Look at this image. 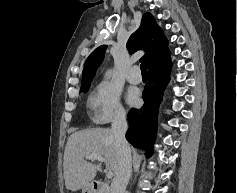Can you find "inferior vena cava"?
Returning a JSON list of instances; mask_svg holds the SVG:
<instances>
[{"label": "inferior vena cava", "mask_w": 237, "mask_h": 193, "mask_svg": "<svg viewBox=\"0 0 237 193\" xmlns=\"http://www.w3.org/2000/svg\"><path fill=\"white\" fill-rule=\"evenodd\" d=\"M127 128L128 125L126 120V114L124 112L118 113L114 117L111 126L119 157L118 167L115 172L114 179L111 183V193H125L126 186L131 175V150L125 138Z\"/></svg>", "instance_id": "1"}]
</instances>
